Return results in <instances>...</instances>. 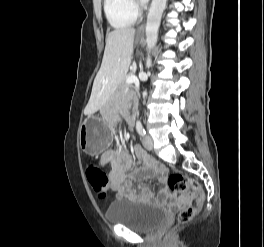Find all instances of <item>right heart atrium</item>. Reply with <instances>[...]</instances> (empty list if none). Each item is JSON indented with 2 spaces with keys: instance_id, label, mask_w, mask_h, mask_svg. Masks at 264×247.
Segmentation results:
<instances>
[{
  "instance_id": "1",
  "label": "right heart atrium",
  "mask_w": 264,
  "mask_h": 247,
  "mask_svg": "<svg viewBox=\"0 0 264 247\" xmlns=\"http://www.w3.org/2000/svg\"><path fill=\"white\" fill-rule=\"evenodd\" d=\"M130 2H131V5H132V6H135V3H134L133 0H130Z\"/></svg>"
}]
</instances>
